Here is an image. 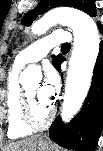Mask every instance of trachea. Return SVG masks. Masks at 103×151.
<instances>
[{
	"mask_svg": "<svg viewBox=\"0 0 103 151\" xmlns=\"http://www.w3.org/2000/svg\"><path fill=\"white\" fill-rule=\"evenodd\" d=\"M70 47V44L69 43H66V44H63L62 45V49H66V48H69Z\"/></svg>",
	"mask_w": 103,
	"mask_h": 151,
	"instance_id": "1",
	"label": "trachea"
}]
</instances>
